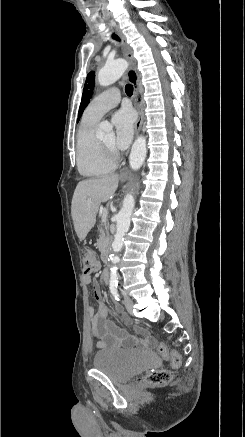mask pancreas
<instances>
[{
	"label": "pancreas",
	"mask_w": 245,
	"mask_h": 437,
	"mask_svg": "<svg viewBox=\"0 0 245 437\" xmlns=\"http://www.w3.org/2000/svg\"><path fill=\"white\" fill-rule=\"evenodd\" d=\"M100 237L98 239V248L100 251H103L110 240V235L108 231V225L105 222H101L99 226Z\"/></svg>",
	"instance_id": "1"
}]
</instances>
